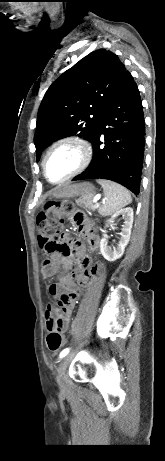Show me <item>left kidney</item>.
Segmentation results:
<instances>
[{
  "mask_svg": "<svg viewBox=\"0 0 165 461\" xmlns=\"http://www.w3.org/2000/svg\"><path fill=\"white\" fill-rule=\"evenodd\" d=\"M119 215H122L124 218V225L122 226L123 228L121 229L120 233V241L117 247H113V249L108 246V236L103 234V238L101 239L100 242V251L103 257L110 261L113 262L117 259H119L125 250V247L127 246L129 240H130V235H131V228L133 224V209L131 207L123 208L118 211H116L110 218L109 223H113L115 218Z\"/></svg>",
  "mask_w": 165,
  "mask_h": 461,
  "instance_id": "obj_1",
  "label": "left kidney"
}]
</instances>
